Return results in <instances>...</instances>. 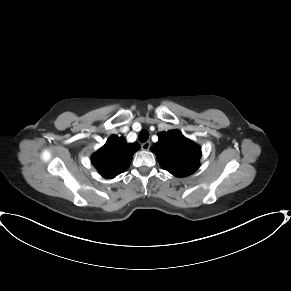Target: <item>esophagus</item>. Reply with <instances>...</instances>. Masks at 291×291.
Wrapping results in <instances>:
<instances>
[{"label": "esophagus", "mask_w": 291, "mask_h": 291, "mask_svg": "<svg viewBox=\"0 0 291 291\" xmlns=\"http://www.w3.org/2000/svg\"><path fill=\"white\" fill-rule=\"evenodd\" d=\"M150 146H151L150 142H145L141 145V148L144 151H148L150 149Z\"/></svg>", "instance_id": "1"}]
</instances>
